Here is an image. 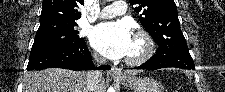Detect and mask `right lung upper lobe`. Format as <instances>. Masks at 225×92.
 Segmentation results:
<instances>
[{
  "label": "right lung upper lobe",
  "mask_w": 225,
  "mask_h": 92,
  "mask_svg": "<svg viewBox=\"0 0 225 92\" xmlns=\"http://www.w3.org/2000/svg\"><path fill=\"white\" fill-rule=\"evenodd\" d=\"M84 0H43L40 24L49 22H75L81 17L77 10Z\"/></svg>",
  "instance_id": "cb5924a9"
}]
</instances>
